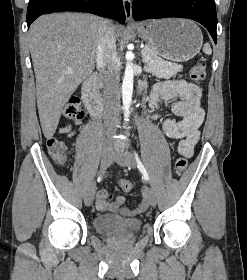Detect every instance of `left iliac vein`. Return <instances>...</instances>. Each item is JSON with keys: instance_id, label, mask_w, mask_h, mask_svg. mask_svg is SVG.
Returning a JSON list of instances; mask_svg holds the SVG:
<instances>
[{"instance_id": "left-iliac-vein-1", "label": "left iliac vein", "mask_w": 247, "mask_h": 280, "mask_svg": "<svg viewBox=\"0 0 247 280\" xmlns=\"http://www.w3.org/2000/svg\"><path fill=\"white\" fill-rule=\"evenodd\" d=\"M114 160L121 166L135 168V158L132 153L128 151L117 152L114 154ZM148 201L151 206H156L157 204V196L153 188L149 189L148 192Z\"/></svg>"}]
</instances>
